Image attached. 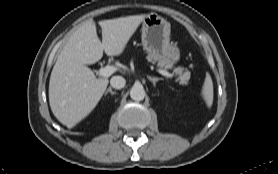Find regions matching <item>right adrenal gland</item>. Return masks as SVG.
<instances>
[{
    "label": "right adrenal gland",
    "mask_w": 278,
    "mask_h": 174,
    "mask_svg": "<svg viewBox=\"0 0 278 174\" xmlns=\"http://www.w3.org/2000/svg\"><path fill=\"white\" fill-rule=\"evenodd\" d=\"M108 93H111V95L116 94V92H114V91L112 90L111 87H109V88L107 89V91L105 92V95H107Z\"/></svg>",
    "instance_id": "obj_1"
}]
</instances>
